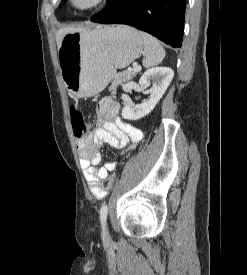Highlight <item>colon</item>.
Wrapping results in <instances>:
<instances>
[{"instance_id": "obj_1", "label": "colon", "mask_w": 247, "mask_h": 275, "mask_svg": "<svg viewBox=\"0 0 247 275\" xmlns=\"http://www.w3.org/2000/svg\"><path fill=\"white\" fill-rule=\"evenodd\" d=\"M71 126L74 137L77 140L83 138L87 131V125L85 122L84 115L79 107L72 106L70 110ZM115 180V174L110 175L102 184V188L107 192L111 189Z\"/></svg>"}]
</instances>
